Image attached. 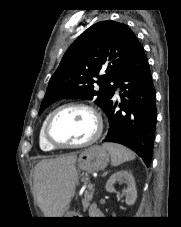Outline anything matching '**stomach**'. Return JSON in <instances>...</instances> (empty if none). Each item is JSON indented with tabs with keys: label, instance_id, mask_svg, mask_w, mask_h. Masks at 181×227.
<instances>
[{
	"label": "stomach",
	"instance_id": "stomach-1",
	"mask_svg": "<svg viewBox=\"0 0 181 227\" xmlns=\"http://www.w3.org/2000/svg\"><path fill=\"white\" fill-rule=\"evenodd\" d=\"M109 153L102 146L94 145L83 152L78 157V170L84 172H96L103 170L109 163ZM75 212L68 211L64 217H78Z\"/></svg>",
	"mask_w": 181,
	"mask_h": 227
}]
</instances>
